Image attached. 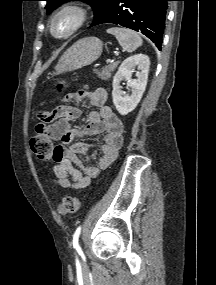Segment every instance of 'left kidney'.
I'll use <instances>...</instances> for the list:
<instances>
[{
    "instance_id": "left-kidney-1",
    "label": "left kidney",
    "mask_w": 216,
    "mask_h": 285,
    "mask_svg": "<svg viewBox=\"0 0 216 285\" xmlns=\"http://www.w3.org/2000/svg\"><path fill=\"white\" fill-rule=\"evenodd\" d=\"M139 70L135 71V68ZM150 60L147 55L137 54L125 59L120 65L113 78V103L121 115H127L132 112L140 102L145 91ZM136 72L137 79H132V74ZM127 80V89L131 90V95L125 94L121 90L120 82Z\"/></svg>"
}]
</instances>
